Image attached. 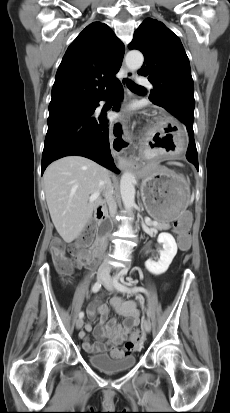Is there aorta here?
<instances>
[{
  "label": "aorta",
  "mask_w": 230,
  "mask_h": 413,
  "mask_svg": "<svg viewBox=\"0 0 230 413\" xmlns=\"http://www.w3.org/2000/svg\"><path fill=\"white\" fill-rule=\"evenodd\" d=\"M144 57L140 51L133 50L125 57L126 66L131 71L141 68ZM135 176L131 172H124L120 180V193L125 209L131 212L135 206Z\"/></svg>",
  "instance_id": "obj_1"
}]
</instances>
